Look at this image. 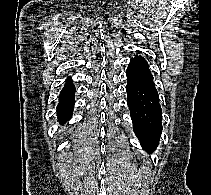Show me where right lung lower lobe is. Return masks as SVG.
<instances>
[{"mask_svg": "<svg viewBox=\"0 0 211 195\" xmlns=\"http://www.w3.org/2000/svg\"><path fill=\"white\" fill-rule=\"evenodd\" d=\"M75 87L72 84L71 77L66 79V84L59 95V104L57 106V115L61 124L65 123L72 116L75 104Z\"/></svg>", "mask_w": 211, "mask_h": 195, "instance_id": "98d812e1", "label": "right lung lower lobe"}]
</instances>
